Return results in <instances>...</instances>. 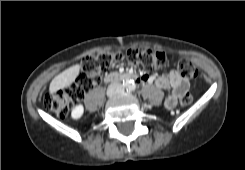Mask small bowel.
<instances>
[{
    "label": "small bowel",
    "instance_id": "1",
    "mask_svg": "<svg viewBox=\"0 0 245 170\" xmlns=\"http://www.w3.org/2000/svg\"><path fill=\"white\" fill-rule=\"evenodd\" d=\"M141 80L147 84L154 83L160 90L170 89L165 100V107L168 110H172L177 105L178 100L188 92L190 86L189 81L175 69L158 77L143 75Z\"/></svg>",
    "mask_w": 245,
    "mask_h": 170
}]
</instances>
